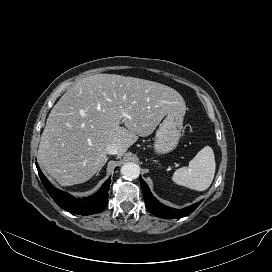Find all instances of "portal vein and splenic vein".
Instances as JSON below:
<instances>
[{"label":"portal vein and splenic vein","instance_id":"18ae733b","mask_svg":"<svg viewBox=\"0 0 272 272\" xmlns=\"http://www.w3.org/2000/svg\"><path fill=\"white\" fill-rule=\"evenodd\" d=\"M121 116H122V117H127V116H128V114L126 113V111H125V110H122Z\"/></svg>","mask_w":272,"mask_h":272}]
</instances>
